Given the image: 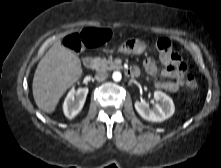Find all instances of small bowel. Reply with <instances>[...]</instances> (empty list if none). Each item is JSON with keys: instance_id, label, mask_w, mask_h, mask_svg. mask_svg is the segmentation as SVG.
Listing matches in <instances>:
<instances>
[{"instance_id": "c3829d8e", "label": "small bowel", "mask_w": 221, "mask_h": 168, "mask_svg": "<svg viewBox=\"0 0 221 168\" xmlns=\"http://www.w3.org/2000/svg\"><path fill=\"white\" fill-rule=\"evenodd\" d=\"M160 58L165 65L161 75L163 78H166V80L157 81L155 87L169 92L178 91L190 78L186 60L174 51L167 56L160 55ZM143 68L150 76L156 75L158 71L157 65L151 57L143 61ZM134 69L139 73L138 68Z\"/></svg>"}]
</instances>
